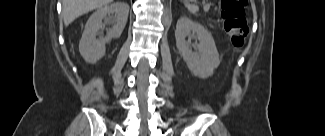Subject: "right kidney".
I'll return each instance as SVG.
<instances>
[{"instance_id":"ca27d5eb","label":"right kidney","mask_w":325,"mask_h":136,"mask_svg":"<svg viewBox=\"0 0 325 136\" xmlns=\"http://www.w3.org/2000/svg\"><path fill=\"white\" fill-rule=\"evenodd\" d=\"M129 6L125 2H115L97 9L88 19L81 40L79 52L87 63L94 64L105 54V44L112 38H119L126 25ZM112 25L104 38L96 36L105 24Z\"/></svg>"}]
</instances>
